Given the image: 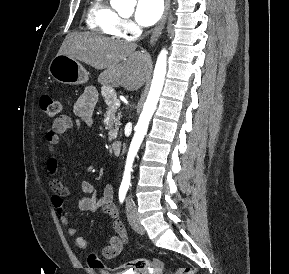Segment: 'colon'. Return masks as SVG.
I'll use <instances>...</instances> for the list:
<instances>
[{"instance_id": "1", "label": "colon", "mask_w": 289, "mask_h": 274, "mask_svg": "<svg viewBox=\"0 0 289 274\" xmlns=\"http://www.w3.org/2000/svg\"><path fill=\"white\" fill-rule=\"evenodd\" d=\"M40 108L49 117H55L61 110L60 102L48 95H43L40 98ZM88 264L90 268L103 271V274H109L108 270H114L115 268H106L102 260L95 253H91L88 256ZM163 267V262L160 260H149L146 258H139L127 263L122 264L119 268L127 269V271H148L158 270ZM196 269L194 267L186 266L179 268L174 274H195Z\"/></svg>"}]
</instances>
